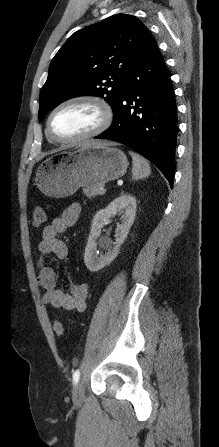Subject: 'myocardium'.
<instances>
[{
  "label": "myocardium",
  "mask_w": 219,
  "mask_h": 447,
  "mask_svg": "<svg viewBox=\"0 0 219 447\" xmlns=\"http://www.w3.org/2000/svg\"><path fill=\"white\" fill-rule=\"evenodd\" d=\"M78 104H83V105H88L93 107L98 115H99V121L98 124L89 132L77 136V137H73V138H63V137H59L58 135H56L52 129V119L54 117V115L60 111L61 109L67 107V106H71V105H78ZM113 121V110L111 108V106L102 98H99L97 96H93V95H77V96H73L70 97L68 99L63 100L62 102H60L58 105H56L52 111L50 112L48 118H47V132L50 135V137L57 141V142H61V143H78V142H82L88 139H91L93 137H96L100 134H102L104 131H106L111 123Z\"/></svg>",
  "instance_id": "obj_1"
}]
</instances>
